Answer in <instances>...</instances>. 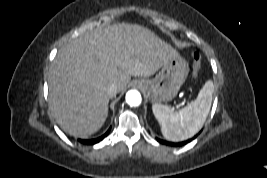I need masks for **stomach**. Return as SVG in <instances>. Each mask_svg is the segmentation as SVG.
<instances>
[{
  "mask_svg": "<svg viewBox=\"0 0 267 178\" xmlns=\"http://www.w3.org/2000/svg\"><path fill=\"white\" fill-rule=\"evenodd\" d=\"M189 72L187 61L178 53L168 59L153 79L137 80L153 103L172 100L185 82Z\"/></svg>",
  "mask_w": 267,
  "mask_h": 178,
  "instance_id": "0dacf381",
  "label": "stomach"
}]
</instances>
